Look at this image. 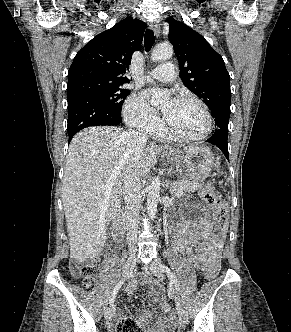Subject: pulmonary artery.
<instances>
[{
  "label": "pulmonary artery",
  "instance_id": "1",
  "mask_svg": "<svg viewBox=\"0 0 291 332\" xmlns=\"http://www.w3.org/2000/svg\"><path fill=\"white\" fill-rule=\"evenodd\" d=\"M149 76L153 79L162 81V82H170L176 78L175 68L173 63L166 62L158 67L154 68Z\"/></svg>",
  "mask_w": 291,
  "mask_h": 332
}]
</instances>
